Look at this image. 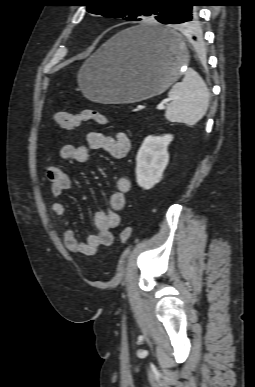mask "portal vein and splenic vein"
<instances>
[{"mask_svg": "<svg viewBox=\"0 0 255 387\" xmlns=\"http://www.w3.org/2000/svg\"><path fill=\"white\" fill-rule=\"evenodd\" d=\"M157 110H163L165 108L164 104L163 103H160L159 105H157Z\"/></svg>", "mask_w": 255, "mask_h": 387, "instance_id": "18ae733b", "label": "portal vein and splenic vein"}]
</instances>
